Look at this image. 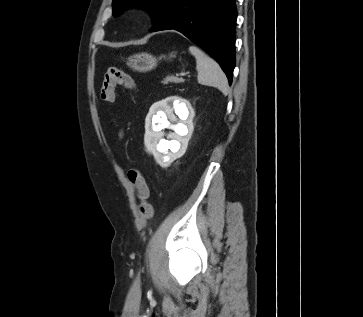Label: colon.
<instances>
[{"instance_id": "obj_1", "label": "colon", "mask_w": 363, "mask_h": 317, "mask_svg": "<svg viewBox=\"0 0 363 317\" xmlns=\"http://www.w3.org/2000/svg\"><path fill=\"white\" fill-rule=\"evenodd\" d=\"M120 85L126 89L134 88L133 78L126 72L116 67L109 68L104 74L100 87V99L103 102H113L115 99V87ZM128 178L136 189L139 204V222L145 225L153 216V207L149 202V188L142 171L138 168H131L128 171Z\"/></svg>"}]
</instances>
